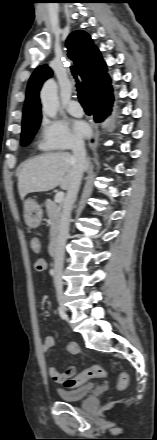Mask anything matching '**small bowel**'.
Here are the masks:
<instances>
[{
	"label": "small bowel",
	"instance_id": "c3829d8e",
	"mask_svg": "<svg viewBox=\"0 0 157 440\" xmlns=\"http://www.w3.org/2000/svg\"><path fill=\"white\" fill-rule=\"evenodd\" d=\"M45 270V269H44ZM38 271V270H37ZM42 271V270H40ZM45 317L50 316L49 311H45L43 313ZM54 346V339L52 337H46L42 343V351L44 353L49 352ZM66 351L69 355H76L79 353V346L75 342H70L66 346ZM77 368L76 366H70L66 369L65 372L60 373L54 366H48V373L50 377L57 383L63 384L66 379L72 377L76 374Z\"/></svg>",
	"mask_w": 157,
	"mask_h": 440
}]
</instances>
